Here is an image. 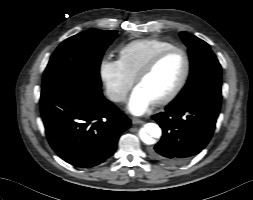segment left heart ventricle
Wrapping results in <instances>:
<instances>
[{"label": "left heart ventricle", "mask_w": 253, "mask_h": 200, "mask_svg": "<svg viewBox=\"0 0 253 200\" xmlns=\"http://www.w3.org/2000/svg\"><path fill=\"white\" fill-rule=\"evenodd\" d=\"M185 69L182 54L176 52L164 58L156 69L143 78L138 86L154 101L168 95L179 83Z\"/></svg>", "instance_id": "obj_1"}]
</instances>
